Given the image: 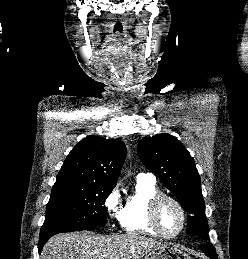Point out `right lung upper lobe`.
Here are the masks:
<instances>
[{
    "label": "right lung upper lobe",
    "instance_id": "cb5924a9",
    "mask_svg": "<svg viewBox=\"0 0 248 259\" xmlns=\"http://www.w3.org/2000/svg\"><path fill=\"white\" fill-rule=\"evenodd\" d=\"M125 157L126 147L122 141L88 136L70 151L54 186L115 187Z\"/></svg>",
    "mask_w": 248,
    "mask_h": 259
}]
</instances>
